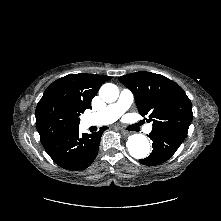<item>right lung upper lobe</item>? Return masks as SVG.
<instances>
[{
	"instance_id": "1",
	"label": "right lung upper lobe",
	"mask_w": 221,
	"mask_h": 221,
	"mask_svg": "<svg viewBox=\"0 0 221 221\" xmlns=\"http://www.w3.org/2000/svg\"><path fill=\"white\" fill-rule=\"evenodd\" d=\"M112 77L94 74H70L54 81L44 92L35 115L52 102L77 113L91 108V101L101 85Z\"/></svg>"
}]
</instances>
